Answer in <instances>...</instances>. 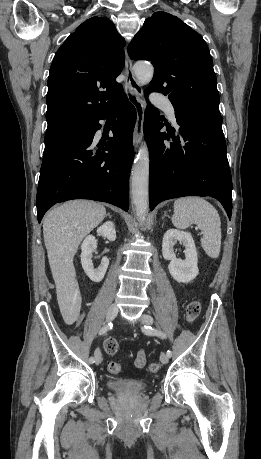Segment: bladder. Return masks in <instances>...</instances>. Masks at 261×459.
<instances>
[{
	"mask_svg": "<svg viewBox=\"0 0 261 459\" xmlns=\"http://www.w3.org/2000/svg\"><path fill=\"white\" fill-rule=\"evenodd\" d=\"M107 385L120 394H139L146 390V384L137 379H111Z\"/></svg>",
	"mask_w": 261,
	"mask_h": 459,
	"instance_id": "bladder-1",
	"label": "bladder"
}]
</instances>
